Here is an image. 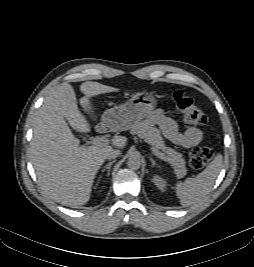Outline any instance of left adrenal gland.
<instances>
[{
	"label": "left adrenal gland",
	"instance_id": "obj_1",
	"mask_svg": "<svg viewBox=\"0 0 254 267\" xmlns=\"http://www.w3.org/2000/svg\"><path fill=\"white\" fill-rule=\"evenodd\" d=\"M150 161H151V166L152 167H154V166H158V164L156 163V161L152 158V157H150Z\"/></svg>",
	"mask_w": 254,
	"mask_h": 267
}]
</instances>
